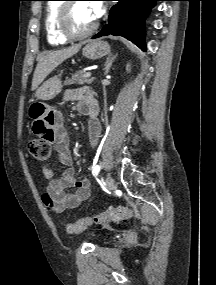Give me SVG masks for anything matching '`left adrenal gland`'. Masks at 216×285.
I'll return each mask as SVG.
<instances>
[{"label": "left adrenal gland", "mask_w": 216, "mask_h": 285, "mask_svg": "<svg viewBox=\"0 0 216 285\" xmlns=\"http://www.w3.org/2000/svg\"><path fill=\"white\" fill-rule=\"evenodd\" d=\"M116 57H117V54L116 55H112V54H110L108 57H107V59H106V61H105V64H104V74L105 75H107L108 74V72H109V70H110V68H111V66H112V64H113V62H114V60L116 59Z\"/></svg>", "instance_id": "left-adrenal-gland-1"}]
</instances>
